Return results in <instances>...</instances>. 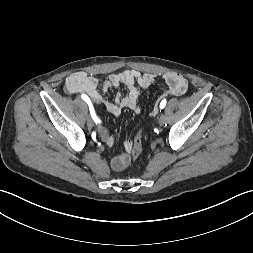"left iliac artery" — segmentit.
Here are the masks:
<instances>
[{
	"label": "left iliac artery",
	"instance_id": "left-iliac-artery-1",
	"mask_svg": "<svg viewBox=\"0 0 253 253\" xmlns=\"http://www.w3.org/2000/svg\"><path fill=\"white\" fill-rule=\"evenodd\" d=\"M166 105V100H163L161 103H160V108L163 109Z\"/></svg>",
	"mask_w": 253,
	"mask_h": 253
}]
</instances>
